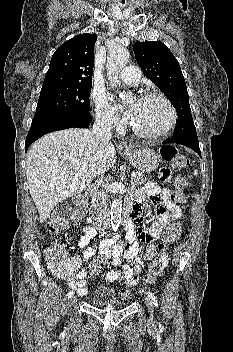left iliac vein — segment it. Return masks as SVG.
I'll return each mask as SVG.
<instances>
[{
  "label": "left iliac vein",
  "mask_w": 233,
  "mask_h": 352,
  "mask_svg": "<svg viewBox=\"0 0 233 352\" xmlns=\"http://www.w3.org/2000/svg\"><path fill=\"white\" fill-rule=\"evenodd\" d=\"M145 304L147 306V309L150 313V319H153V314H154V305L149 297L145 298Z\"/></svg>",
  "instance_id": "obj_1"
}]
</instances>
